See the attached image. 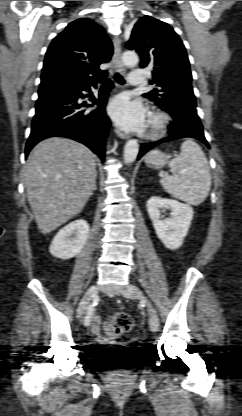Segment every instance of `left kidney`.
<instances>
[{"label":"left kidney","instance_id":"1","mask_svg":"<svg viewBox=\"0 0 242 416\" xmlns=\"http://www.w3.org/2000/svg\"><path fill=\"white\" fill-rule=\"evenodd\" d=\"M146 207L155 232L165 247L171 250L181 247L193 219V208L176 200L160 197H151ZM162 209L171 210V217L161 220Z\"/></svg>","mask_w":242,"mask_h":416}]
</instances>
